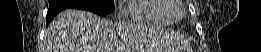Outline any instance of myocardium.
I'll list each match as a JSON object with an SVG mask.
<instances>
[{
    "label": "myocardium",
    "mask_w": 261,
    "mask_h": 52,
    "mask_svg": "<svg viewBox=\"0 0 261 52\" xmlns=\"http://www.w3.org/2000/svg\"><path fill=\"white\" fill-rule=\"evenodd\" d=\"M172 3H178V0H170ZM173 22L180 20L184 16V10L181 7L172 8L169 12Z\"/></svg>",
    "instance_id": "1"
}]
</instances>
